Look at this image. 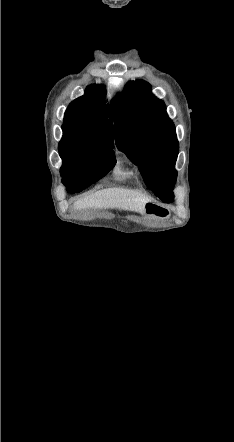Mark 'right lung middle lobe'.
Returning <instances> with one entry per match:
<instances>
[{
    "label": "right lung middle lobe",
    "instance_id": "right-lung-middle-lobe-1",
    "mask_svg": "<svg viewBox=\"0 0 234 442\" xmlns=\"http://www.w3.org/2000/svg\"><path fill=\"white\" fill-rule=\"evenodd\" d=\"M63 129L59 154L63 165L62 182L70 193L80 192L106 175L115 165L113 146L90 144Z\"/></svg>",
    "mask_w": 234,
    "mask_h": 442
}]
</instances>
